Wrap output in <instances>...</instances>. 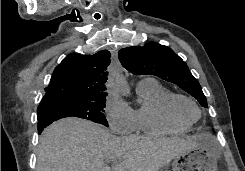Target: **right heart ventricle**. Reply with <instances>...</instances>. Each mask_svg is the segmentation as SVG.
Here are the masks:
<instances>
[{
	"label": "right heart ventricle",
	"instance_id": "1",
	"mask_svg": "<svg viewBox=\"0 0 245 171\" xmlns=\"http://www.w3.org/2000/svg\"><path fill=\"white\" fill-rule=\"evenodd\" d=\"M139 106L134 110L136 130L149 135L183 133L188 127L171 121L164 112V101L171 91L152 78L138 82Z\"/></svg>",
	"mask_w": 245,
	"mask_h": 171
}]
</instances>
